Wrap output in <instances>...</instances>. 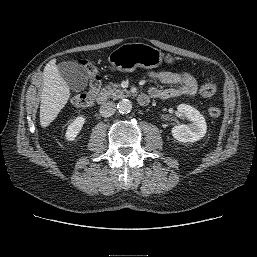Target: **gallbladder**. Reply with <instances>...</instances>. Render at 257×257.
<instances>
[{"mask_svg": "<svg viewBox=\"0 0 257 257\" xmlns=\"http://www.w3.org/2000/svg\"><path fill=\"white\" fill-rule=\"evenodd\" d=\"M57 68L72 91L79 92L87 87L88 75L85 68L77 62L64 61Z\"/></svg>", "mask_w": 257, "mask_h": 257, "instance_id": "obj_1", "label": "gallbladder"}]
</instances>
